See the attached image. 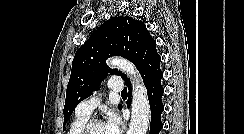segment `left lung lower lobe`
<instances>
[{"label": "left lung lower lobe", "mask_w": 244, "mask_h": 134, "mask_svg": "<svg viewBox=\"0 0 244 134\" xmlns=\"http://www.w3.org/2000/svg\"><path fill=\"white\" fill-rule=\"evenodd\" d=\"M163 74H156L150 77L145 84L148 100L151 109V122H150V133L149 134H159L163 124L161 122V114L164 110L162 103V95L164 89L161 86V79ZM130 88V86H128ZM131 102V97L128 98L127 104Z\"/></svg>", "instance_id": "0a47b994"}]
</instances>
